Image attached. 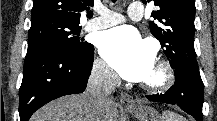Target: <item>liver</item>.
I'll return each instance as SVG.
<instances>
[{
  "label": "liver",
  "instance_id": "6515ba94",
  "mask_svg": "<svg viewBox=\"0 0 217 121\" xmlns=\"http://www.w3.org/2000/svg\"><path fill=\"white\" fill-rule=\"evenodd\" d=\"M30 121H92L84 95H68L49 102ZM104 121H119L117 105L112 104Z\"/></svg>",
  "mask_w": 217,
  "mask_h": 121
}]
</instances>
